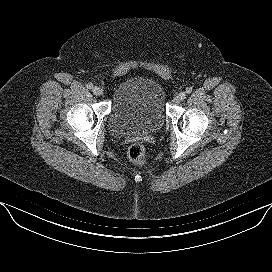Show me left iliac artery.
Returning a JSON list of instances; mask_svg holds the SVG:
<instances>
[{
	"instance_id": "1",
	"label": "left iliac artery",
	"mask_w": 272,
	"mask_h": 272,
	"mask_svg": "<svg viewBox=\"0 0 272 272\" xmlns=\"http://www.w3.org/2000/svg\"><path fill=\"white\" fill-rule=\"evenodd\" d=\"M192 92V88L191 87H187L186 88V93L190 94Z\"/></svg>"
}]
</instances>
